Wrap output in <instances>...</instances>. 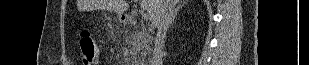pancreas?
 Segmentation results:
<instances>
[{"label": "pancreas", "mask_w": 309, "mask_h": 65, "mask_svg": "<svg viewBox=\"0 0 309 65\" xmlns=\"http://www.w3.org/2000/svg\"><path fill=\"white\" fill-rule=\"evenodd\" d=\"M150 44L151 37L144 29L133 31L130 37V57L140 61L142 56L149 51Z\"/></svg>", "instance_id": "1"}]
</instances>
